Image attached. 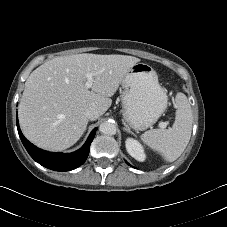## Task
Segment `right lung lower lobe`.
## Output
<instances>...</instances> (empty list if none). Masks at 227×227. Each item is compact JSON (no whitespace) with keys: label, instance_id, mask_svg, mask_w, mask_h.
I'll return each mask as SVG.
<instances>
[{"label":"right lung lower lobe","instance_id":"right-lung-lower-lobe-1","mask_svg":"<svg viewBox=\"0 0 227 227\" xmlns=\"http://www.w3.org/2000/svg\"><path fill=\"white\" fill-rule=\"evenodd\" d=\"M16 122H17V129H18L19 136L29 155L40 165L54 171H70L82 165L88 157L90 144L93 141V138L96 133V128H95L90 133L87 141L82 146V148H80L75 152L54 153V152L42 150L36 147L35 145H33L31 142H29L23 136L20 130L18 119L16 120Z\"/></svg>","mask_w":227,"mask_h":227}]
</instances>
